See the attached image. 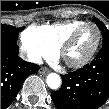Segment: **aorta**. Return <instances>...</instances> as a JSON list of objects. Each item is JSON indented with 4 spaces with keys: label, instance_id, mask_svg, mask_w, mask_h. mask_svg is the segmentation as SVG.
I'll return each instance as SVG.
<instances>
[{
    "label": "aorta",
    "instance_id": "762f6f07",
    "mask_svg": "<svg viewBox=\"0 0 109 109\" xmlns=\"http://www.w3.org/2000/svg\"><path fill=\"white\" fill-rule=\"evenodd\" d=\"M46 81H47V85L51 89L56 90V89H59V87L61 86V78L56 73L48 74Z\"/></svg>",
    "mask_w": 109,
    "mask_h": 109
}]
</instances>
